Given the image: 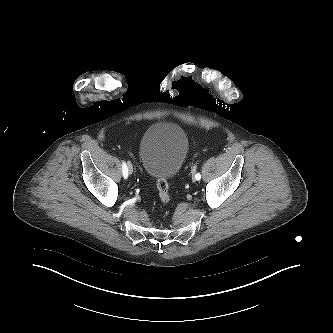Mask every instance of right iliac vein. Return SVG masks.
<instances>
[{
	"mask_svg": "<svg viewBox=\"0 0 333 333\" xmlns=\"http://www.w3.org/2000/svg\"><path fill=\"white\" fill-rule=\"evenodd\" d=\"M128 171L130 174H132V172H133V166L130 162L128 163Z\"/></svg>",
	"mask_w": 333,
	"mask_h": 333,
	"instance_id": "right-iliac-vein-1",
	"label": "right iliac vein"
}]
</instances>
